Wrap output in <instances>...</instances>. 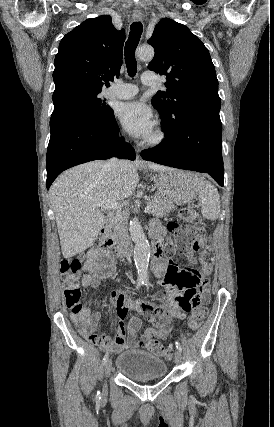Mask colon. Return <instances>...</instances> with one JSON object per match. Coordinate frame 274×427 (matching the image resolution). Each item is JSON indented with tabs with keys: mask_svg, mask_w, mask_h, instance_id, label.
<instances>
[{
	"mask_svg": "<svg viewBox=\"0 0 274 427\" xmlns=\"http://www.w3.org/2000/svg\"><path fill=\"white\" fill-rule=\"evenodd\" d=\"M181 219L187 226L182 228L179 223L172 226V246L167 247L166 253H173V248H192L194 242L204 244V248H212L211 242L205 234L203 223L200 221L199 214L195 208L187 206L180 212ZM81 255H73L64 258L61 261L60 273L64 280V303L73 313L79 314L82 310L81 290L78 286V276L82 266ZM194 314H190L188 326L193 332L203 329L202 318L207 317V310L204 306H195ZM162 342L153 339H147L141 342L142 350L154 352L159 359H170L171 351L168 347H162Z\"/></svg>",
	"mask_w": 274,
	"mask_h": 427,
	"instance_id": "5ec220e1",
	"label": "colon"
}]
</instances>
